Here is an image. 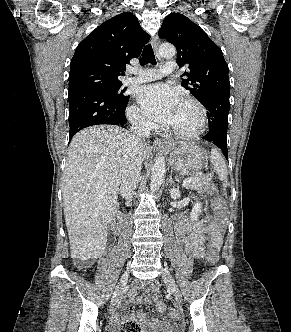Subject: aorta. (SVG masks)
Instances as JSON below:
<instances>
[{
    "instance_id": "aorta-1",
    "label": "aorta",
    "mask_w": 291,
    "mask_h": 332,
    "mask_svg": "<svg viewBox=\"0 0 291 332\" xmlns=\"http://www.w3.org/2000/svg\"><path fill=\"white\" fill-rule=\"evenodd\" d=\"M158 54L162 58L169 59L175 56L176 49L173 45L164 43L159 47ZM165 172V160L163 156H158L154 162L151 173L150 190L152 192L157 191L161 187Z\"/></svg>"
}]
</instances>
